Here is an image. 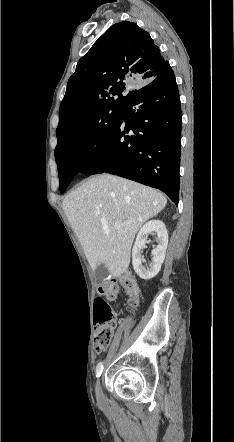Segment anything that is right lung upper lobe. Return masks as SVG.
Wrapping results in <instances>:
<instances>
[{
	"label": "right lung upper lobe",
	"mask_w": 234,
	"mask_h": 442,
	"mask_svg": "<svg viewBox=\"0 0 234 442\" xmlns=\"http://www.w3.org/2000/svg\"><path fill=\"white\" fill-rule=\"evenodd\" d=\"M167 64L148 32L132 22L112 25L79 60L68 80L59 108L57 139L83 117L122 106ZM114 95L119 98L114 100Z\"/></svg>",
	"instance_id": "cb5924a9"
}]
</instances>
